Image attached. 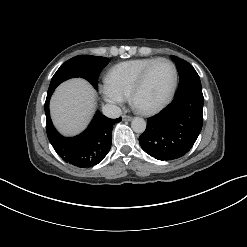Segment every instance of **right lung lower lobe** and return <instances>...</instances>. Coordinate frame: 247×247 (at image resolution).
<instances>
[{
	"label": "right lung lower lobe",
	"instance_id": "1",
	"mask_svg": "<svg viewBox=\"0 0 247 247\" xmlns=\"http://www.w3.org/2000/svg\"><path fill=\"white\" fill-rule=\"evenodd\" d=\"M53 91H48L45 101L46 131L51 145L65 162L80 168L93 167L109 152L113 125L122 118L110 119L97 112L83 133L65 138L56 131L50 118L49 101Z\"/></svg>",
	"mask_w": 247,
	"mask_h": 247
}]
</instances>
